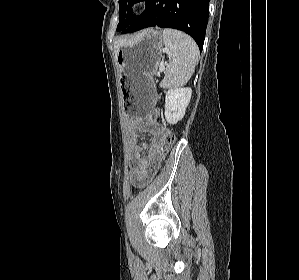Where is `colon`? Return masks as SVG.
<instances>
[{"mask_svg":"<svg viewBox=\"0 0 299 280\" xmlns=\"http://www.w3.org/2000/svg\"><path fill=\"white\" fill-rule=\"evenodd\" d=\"M159 115H160V110L155 109L148 115V120L152 121V122H158ZM174 142H175V135H174L173 131L170 130L169 128H166L165 129V143H164V146H163V149H162V156L163 157L171 149ZM145 183L146 182H144L140 185H144Z\"/></svg>","mask_w":299,"mask_h":280,"instance_id":"1","label":"colon"}]
</instances>
